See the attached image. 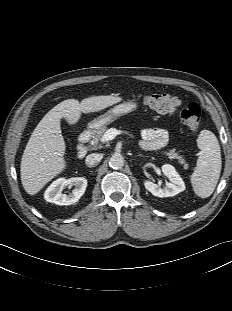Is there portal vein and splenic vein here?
Returning a JSON list of instances; mask_svg holds the SVG:
<instances>
[{"mask_svg":"<svg viewBox=\"0 0 232 311\" xmlns=\"http://www.w3.org/2000/svg\"><path fill=\"white\" fill-rule=\"evenodd\" d=\"M118 134H120L119 130H117L115 128H110L103 135L102 142L113 140Z\"/></svg>","mask_w":232,"mask_h":311,"instance_id":"portal-vein-and-splenic-vein-1","label":"portal vein and splenic vein"}]
</instances>
